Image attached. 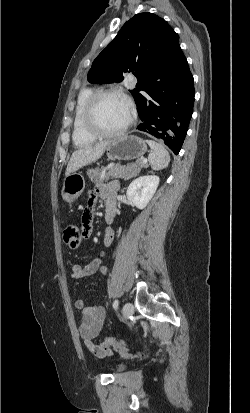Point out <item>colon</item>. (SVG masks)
Instances as JSON below:
<instances>
[{
	"mask_svg": "<svg viewBox=\"0 0 250 413\" xmlns=\"http://www.w3.org/2000/svg\"><path fill=\"white\" fill-rule=\"evenodd\" d=\"M150 175L156 176L157 170L151 169ZM63 236H64V241L66 245L70 249L79 248L82 237L80 236V228L78 225L74 223L68 224L64 229ZM99 345L105 346V347H115L121 352H126L130 348L129 344L126 341L119 339V338H115V337L105 338L102 342L99 343Z\"/></svg>",
	"mask_w": 250,
	"mask_h": 413,
	"instance_id": "1",
	"label": "colon"
}]
</instances>
